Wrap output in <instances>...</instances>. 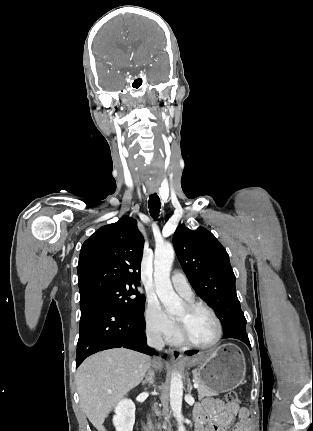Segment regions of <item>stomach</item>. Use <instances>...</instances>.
Returning a JSON list of instances; mask_svg holds the SVG:
<instances>
[{"instance_id":"stomach-1","label":"stomach","mask_w":313,"mask_h":431,"mask_svg":"<svg viewBox=\"0 0 313 431\" xmlns=\"http://www.w3.org/2000/svg\"><path fill=\"white\" fill-rule=\"evenodd\" d=\"M185 365L195 366L201 383L217 393L233 390L245 380V358L235 344H224L207 354L188 358Z\"/></svg>"}]
</instances>
